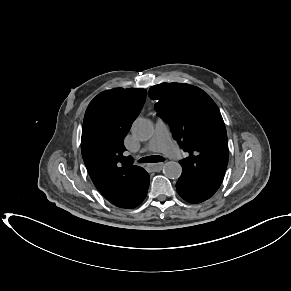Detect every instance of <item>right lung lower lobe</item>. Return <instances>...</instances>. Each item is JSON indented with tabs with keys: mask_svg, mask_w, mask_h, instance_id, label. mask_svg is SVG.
Returning <instances> with one entry per match:
<instances>
[{
	"mask_svg": "<svg viewBox=\"0 0 291 291\" xmlns=\"http://www.w3.org/2000/svg\"><path fill=\"white\" fill-rule=\"evenodd\" d=\"M148 187H149V174H148V179L146 180V184L142 188L141 194L138 198L132 200L129 203L116 202V203H112V204L117 206V207H120V208H129V209L135 208L138 205H140L143 202V200L145 199V197L147 195Z\"/></svg>",
	"mask_w": 291,
	"mask_h": 291,
	"instance_id": "1",
	"label": "right lung lower lobe"
}]
</instances>
